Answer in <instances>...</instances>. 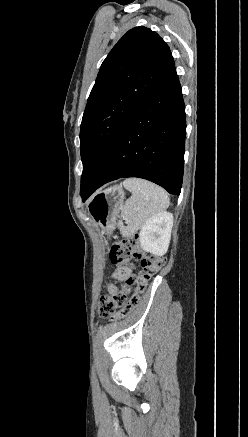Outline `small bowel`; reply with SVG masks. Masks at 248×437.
I'll list each match as a JSON object with an SVG mask.
<instances>
[{"label":"small bowel","instance_id":"c3829d8e","mask_svg":"<svg viewBox=\"0 0 248 437\" xmlns=\"http://www.w3.org/2000/svg\"><path fill=\"white\" fill-rule=\"evenodd\" d=\"M129 270L124 267H118L115 272L112 274V278L116 280H122L127 274ZM110 291H115V287L113 285H109Z\"/></svg>","mask_w":248,"mask_h":437}]
</instances>
